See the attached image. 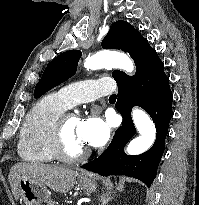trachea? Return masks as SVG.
Returning <instances> with one entry per match:
<instances>
[{
  "mask_svg": "<svg viewBox=\"0 0 199 205\" xmlns=\"http://www.w3.org/2000/svg\"><path fill=\"white\" fill-rule=\"evenodd\" d=\"M116 95L115 94H113V95H111L110 97H109V99H116Z\"/></svg>",
  "mask_w": 199,
  "mask_h": 205,
  "instance_id": "1",
  "label": "trachea"
}]
</instances>
